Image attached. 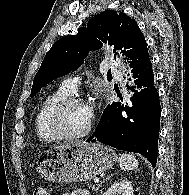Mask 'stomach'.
Listing matches in <instances>:
<instances>
[{"instance_id":"0dacf381","label":"stomach","mask_w":189,"mask_h":195,"mask_svg":"<svg viewBox=\"0 0 189 195\" xmlns=\"http://www.w3.org/2000/svg\"><path fill=\"white\" fill-rule=\"evenodd\" d=\"M116 162L117 154L105 145L77 144L48 150L37 171L47 181L69 183L90 180Z\"/></svg>"}]
</instances>
